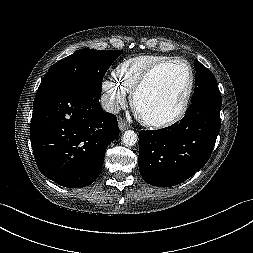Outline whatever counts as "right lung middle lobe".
<instances>
[{
	"mask_svg": "<svg viewBox=\"0 0 253 253\" xmlns=\"http://www.w3.org/2000/svg\"><path fill=\"white\" fill-rule=\"evenodd\" d=\"M121 53L120 50L80 49L52 65L38 90L51 85H67L101 95L103 77Z\"/></svg>",
	"mask_w": 253,
	"mask_h": 253,
	"instance_id": "dd1d6c3e",
	"label": "right lung middle lobe"
}]
</instances>
